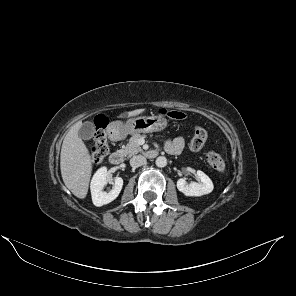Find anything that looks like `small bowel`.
Returning <instances> with one entry per match:
<instances>
[{
    "instance_id": "1",
    "label": "small bowel",
    "mask_w": 296,
    "mask_h": 296,
    "mask_svg": "<svg viewBox=\"0 0 296 296\" xmlns=\"http://www.w3.org/2000/svg\"><path fill=\"white\" fill-rule=\"evenodd\" d=\"M185 144V139L182 136L176 137L173 140L166 142V150L169 154L178 155L182 152Z\"/></svg>"
}]
</instances>
